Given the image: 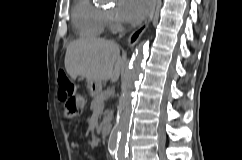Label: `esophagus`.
I'll list each match as a JSON object with an SVG mask.
<instances>
[{"instance_id":"1","label":"esophagus","mask_w":242,"mask_h":160,"mask_svg":"<svg viewBox=\"0 0 242 160\" xmlns=\"http://www.w3.org/2000/svg\"><path fill=\"white\" fill-rule=\"evenodd\" d=\"M157 1L158 0H153V6H152L149 16L144 21V23L138 29H136L134 32H132L131 35L129 36V38H128L129 47H133L138 42V40L140 39V37L142 36L144 31L147 29L149 23L153 19V16H154V13L156 10Z\"/></svg>"}]
</instances>
